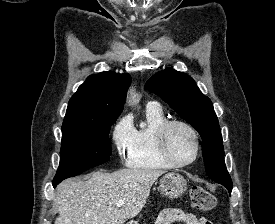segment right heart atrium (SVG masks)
<instances>
[{
    "instance_id": "right-heart-atrium-1",
    "label": "right heart atrium",
    "mask_w": 275,
    "mask_h": 224,
    "mask_svg": "<svg viewBox=\"0 0 275 224\" xmlns=\"http://www.w3.org/2000/svg\"><path fill=\"white\" fill-rule=\"evenodd\" d=\"M135 128L129 117H122L115 125L112 132V141L117 153L125 157L130 151L134 141Z\"/></svg>"
}]
</instances>
